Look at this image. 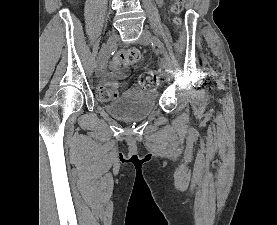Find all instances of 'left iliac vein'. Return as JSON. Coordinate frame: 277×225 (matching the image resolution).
<instances>
[{
  "instance_id": "obj_1",
  "label": "left iliac vein",
  "mask_w": 277,
  "mask_h": 225,
  "mask_svg": "<svg viewBox=\"0 0 277 225\" xmlns=\"http://www.w3.org/2000/svg\"><path fill=\"white\" fill-rule=\"evenodd\" d=\"M151 39H152L151 32L148 29H144L141 37L138 40V43L146 46L151 42ZM164 76L167 80H171L173 77L172 74L170 73H164Z\"/></svg>"
}]
</instances>
